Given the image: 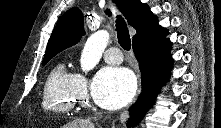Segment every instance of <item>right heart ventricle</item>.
Masks as SVG:
<instances>
[{
  "label": "right heart ventricle",
  "instance_id": "right-heart-ventricle-1",
  "mask_svg": "<svg viewBox=\"0 0 221 128\" xmlns=\"http://www.w3.org/2000/svg\"><path fill=\"white\" fill-rule=\"evenodd\" d=\"M74 74L64 61L56 63L49 72L43 94V108L53 114H69L78 101L74 90Z\"/></svg>",
  "mask_w": 221,
  "mask_h": 128
}]
</instances>
